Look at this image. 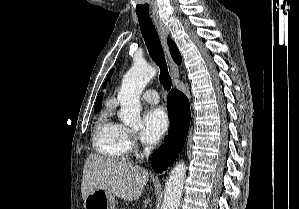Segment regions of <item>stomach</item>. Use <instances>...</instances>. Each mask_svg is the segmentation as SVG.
Instances as JSON below:
<instances>
[{
  "mask_svg": "<svg viewBox=\"0 0 299 209\" xmlns=\"http://www.w3.org/2000/svg\"><path fill=\"white\" fill-rule=\"evenodd\" d=\"M85 209H115V197L108 191L96 189L84 200Z\"/></svg>",
  "mask_w": 299,
  "mask_h": 209,
  "instance_id": "stomach-1",
  "label": "stomach"
}]
</instances>
